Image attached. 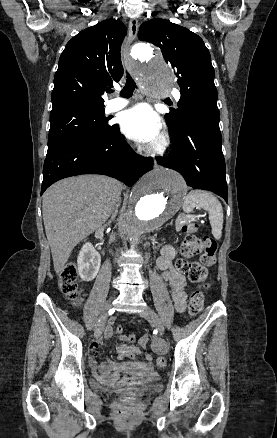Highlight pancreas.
Here are the masks:
<instances>
[{"mask_svg":"<svg viewBox=\"0 0 277 438\" xmlns=\"http://www.w3.org/2000/svg\"><path fill=\"white\" fill-rule=\"evenodd\" d=\"M187 215L186 214H179L178 218H175L174 225H173V232L174 233H181L182 227H184L185 223L187 222Z\"/></svg>","mask_w":277,"mask_h":438,"instance_id":"obj_1","label":"pancreas"}]
</instances>
